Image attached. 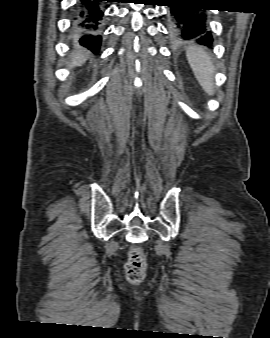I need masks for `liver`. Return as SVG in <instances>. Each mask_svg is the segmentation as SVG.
Listing matches in <instances>:
<instances>
[{
	"label": "liver",
	"mask_w": 270,
	"mask_h": 338,
	"mask_svg": "<svg viewBox=\"0 0 270 338\" xmlns=\"http://www.w3.org/2000/svg\"><path fill=\"white\" fill-rule=\"evenodd\" d=\"M87 58H88V52L78 49L72 53L71 63L69 64V67L73 68V67L81 66L85 63Z\"/></svg>",
	"instance_id": "6515ba94"
}]
</instances>
